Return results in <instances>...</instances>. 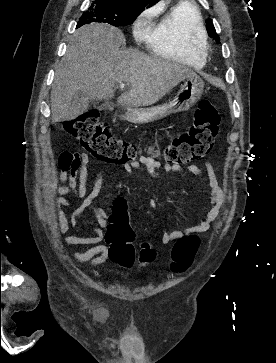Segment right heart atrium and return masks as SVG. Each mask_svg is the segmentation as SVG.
Listing matches in <instances>:
<instances>
[{"mask_svg":"<svg viewBox=\"0 0 276 363\" xmlns=\"http://www.w3.org/2000/svg\"><path fill=\"white\" fill-rule=\"evenodd\" d=\"M152 11L148 10L143 12L135 21L133 25L134 36L138 40L146 39L150 33V19Z\"/></svg>","mask_w":276,"mask_h":363,"instance_id":"1","label":"right heart atrium"}]
</instances>
